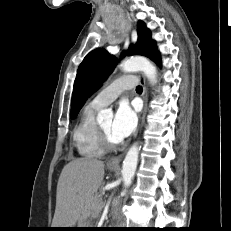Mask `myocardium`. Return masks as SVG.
<instances>
[{"label":"myocardium","instance_id":"myocardium-1","mask_svg":"<svg viewBox=\"0 0 231 231\" xmlns=\"http://www.w3.org/2000/svg\"><path fill=\"white\" fill-rule=\"evenodd\" d=\"M97 132L100 145L105 151L116 150L119 147L118 142H112L99 125H97Z\"/></svg>","mask_w":231,"mask_h":231}]
</instances>
